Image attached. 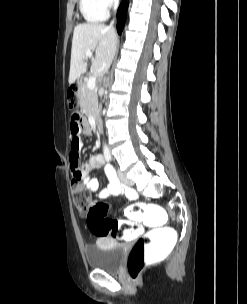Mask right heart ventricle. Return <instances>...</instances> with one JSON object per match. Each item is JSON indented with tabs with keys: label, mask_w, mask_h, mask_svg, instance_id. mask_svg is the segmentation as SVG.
I'll use <instances>...</instances> for the list:
<instances>
[{
	"label": "right heart ventricle",
	"mask_w": 247,
	"mask_h": 304,
	"mask_svg": "<svg viewBox=\"0 0 247 304\" xmlns=\"http://www.w3.org/2000/svg\"><path fill=\"white\" fill-rule=\"evenodd\" d=\"M80 11L83 18L89 23H97L106 20L108 12L99 0H80Z\"/></svg>",
	"instance_id": "obj_1"
}]
</instances>
